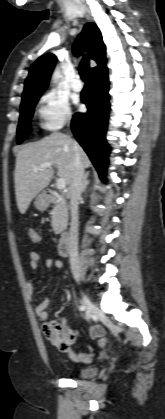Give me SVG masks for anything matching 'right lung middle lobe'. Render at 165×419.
<instances>
[{
  "label": "right lung middle lobe",
  "instance_id": "1",
  "mask_svg": "<svg viewBox=\"0 0 165 419\" xmlns=\"http://www.w3.org/2000/svg\"><path fill=\"white\" fill-rule=\"evenodd\" d=\"M40 96L41 94H36L21 103L19 125L17 128V144H20L31 132L30 120Z\"/></svg>",
  "mask_w": 165,
  "mask_h": 419
}]
</instances>
